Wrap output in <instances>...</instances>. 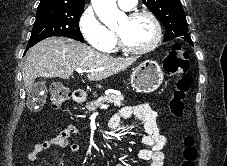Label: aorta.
<instances>
[{"label": "aorta", "mask_w": 227, "mask_h": 166, "mask_svg": "<svg viewBox=\"0 0 227 166\" xmlns=\"http://www.w3.org/2000/svg\"><path fill=\"white\" fill-rule=\"evenodd\" d=\"M92 6L100 19L107 26L126 18L124 12L117 7L116 0H91Z\"/></svg>", "instance_id": "762f6f07"}]
</instances>
